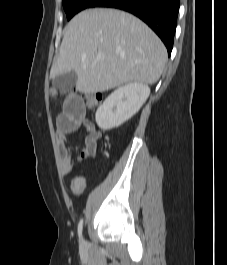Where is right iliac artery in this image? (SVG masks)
Returning <instances> with one entry per match:
<instances>
[{"label": "right iliac artery", "mask_w": 227, "mask_h": 265, "mask_svg": "<svg viewBox=\"0 0 227 265\" xmlns=\"http://www.w3.org/2000/svg\"><path fill=\"white\" fill-rule=\"evenodd\" d=\"M82 229H83V219H81L79 224H78V235H79L80 240L82 237Z\"/></svg>", "instance_id": "obj_1"}]
</instances>
